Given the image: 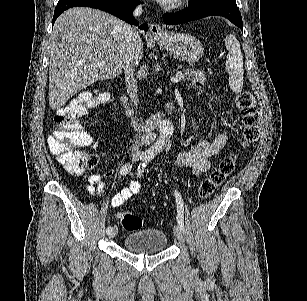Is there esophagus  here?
Segmentation results:
<instances>
[{
	"label": "esophagus",
	"mask_w": 307,
	"mask_h": 301,
	"mask_svg": "<svg viewBox=\"0 0 307 301\" xmlns=\"http://www.w3.org/2000/svg\"><path fill=\"white\" fill-rule=\"evenodd\" d=\"M165 32L166 31L158 23H151L150 34L154 39L162 38Z\"/></svg>",
	"instance_id": "1"
}]
</instances>
